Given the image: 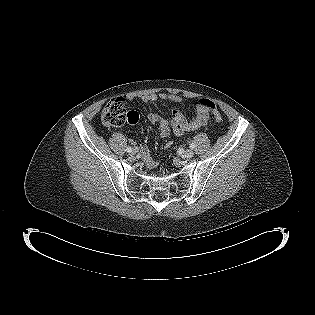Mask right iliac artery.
I'll return each mask as SVG.
<instances>
[{
	"mask_svg": "<svg viewBox=\"0 0 315 315\" xmlns=\"http://www.w3.org/2000/svg\"><path fill=\"white\" fill-rule=\"evenodd\" d=\"M126 151H127L128 153H130V152H132V148H131L130 146H128V147L126 148Z\"/></svg>",
	"mask_w": 315,
	"mask_h": 315,
	"instance_id": "1",
	"label": "right iliac artery"
}]
</instances>
